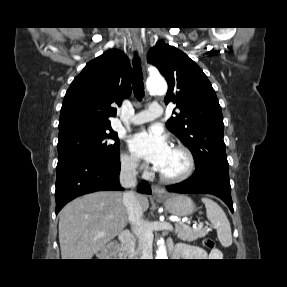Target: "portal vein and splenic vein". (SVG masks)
Returning a JSON list of instances; mask_svg holds the SVG:
<instances>
[{
    "label": "portal vein and splenic vein",
    "mask_w": 287,
    "mask_h": 287,
    "mask_svg": "<svg viewBox=\"0 0 287 287\" xmlns=\"http://www.w3.org/2000/svg\"><path fill=\"white\" fill-rule=\"evenodd\" d=\"M170 220L173 221V222H179L181 224H184V223L190 224L188 222V220H182V222L179 219H176V218H170ZM184 225H186V224H184ZM186 226H188V225H186ZM202 227H203V224L202 223L199 224L198 228H202Z\"/></svg>",
    "instance_id": "obj_1"
}]
</instances>
